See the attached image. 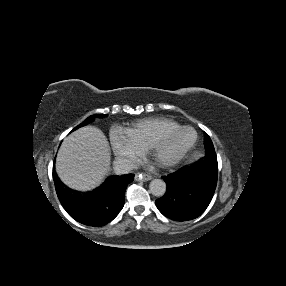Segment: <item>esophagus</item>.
Returning <instances> with one entry per match:
<instances>
[{
    "label": "esophagus",
    "mask_w": 286,
    "mask_h": 286,
    "mask_svg": "<svg viewBox=\"0 0 286 286\" xmlns=\"http://www.w3.org/2000/svg\"><path fill=\"white\" fill-rule=\"evenodd\" d=\"M135 179L136 180H141V181H148V180L152 179V176L150 174H148V173H141V174L137 173L135 175Z\"/></svg>",
    "instance_id": "1"
}]
</instances>
